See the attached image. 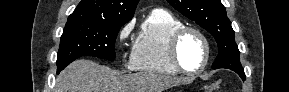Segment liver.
<instances>
[{
	"label": "liver",
	"mask_w": 289,
	"mask_h": 92,
	"mask_svg": "<svg viewBox=\"0 0 289 92\" xmlns=\"http://www.w3.org/2000/svg\"><path fill=\"white\" fill-rule=\"evenodd\" d=\"M184 80L156 73L120 75L106 66L80 59L57 77V92H162Z\"/></svg>",
	"instance_id": "liver-1"
}]
</instances>
